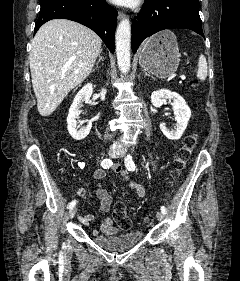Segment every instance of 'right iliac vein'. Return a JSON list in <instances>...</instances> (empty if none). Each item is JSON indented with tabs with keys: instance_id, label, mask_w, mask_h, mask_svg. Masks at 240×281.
<instances>
[{
	"instance_id": "63e3f726",
	"label": "right iliac vein",
	"mask_w": 240,
	"mask_h": 281,
	"mask_svg": "<svg viewBox=\"0 0 240 281\" xmlns=\"http://www.w3.org/2000/svg\"><path fill=\"white\" fill-rule=\"evenodd\" d=\"M119 151V148L116 147V146H112L109 148L108 150V155L110 157H115V155L118 153ZM77 213V208L76 207H73L70 211H69V217L70 218H73Z\"/></svg>"
}]
</instances>
